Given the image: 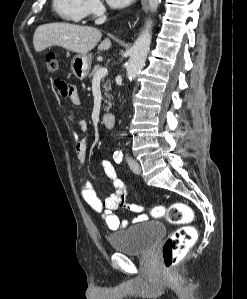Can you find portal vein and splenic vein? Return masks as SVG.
I'll list each match as a JSON object with an SVG mask.
<instances>
[{"instance_id": "obj_1", "label": "portal vein and splenic vein", "mask_w": 247, "mask_h": 299, "mask_svg": "<svg viewBox=\"0 0 247 299\" xmlns=\"http://www.w3.org/2000/svg\"><path fill=\"white\" fill-rule=\"evenodd\" d=\"M107 73H108L107 68L105 67L101 68L94 76V80H100L101 78L105 77Z\"/></svg>"}]
</instances>
